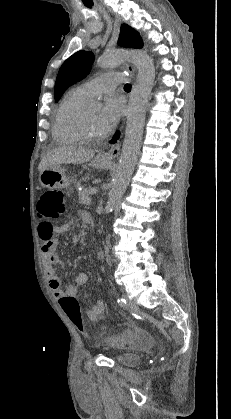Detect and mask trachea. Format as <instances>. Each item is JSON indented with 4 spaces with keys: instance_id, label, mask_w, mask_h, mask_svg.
Instances as JSON below:
<instances>
[{
    "instance_id": "obj_1",
    "label": "trachea",
    "mask_w": 231,
    "mask_h": 419,
    "mask_svg": "<svg viewBox=\"0 0 231 419\" xmlns=\"http://www.w3.org/2000/svg\"><path fill=\"white\" fill-rule=\"evenodd\" d=\"M125 90H131V85L130 84H126L125 85Z\"/></svg>"
}]
</instances>
